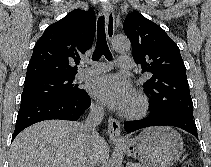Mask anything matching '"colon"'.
Segmentation results:
<instances>
[{
	"mask_svg": "<svg viewBox=\"0 0 211 167\" xmlns=\"http://www.w3.org/2000/svg\"><path fill=\"white\" fill-rule=\"evenodd\" d=\"M185 167H191L190 165H187V166H185Z\"/></svg>",
	"mask_w": 211,
	"mask_h": 167,
	"instance_id": "1",
	"label": "colon"
}]
</instances>
